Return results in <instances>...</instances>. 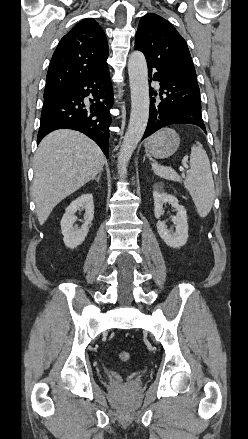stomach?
<instances>
[{
	"mask_svg": "<svg viewBox=\"0 0 248 439\" xmlns=\"http://www.w3.org/2000/svg\"><path fill=\"white\" fill-rule=\"evenodd\" d=\"M180 144L179 135L170 128H164L152 135L145 143L149 155L157 159L173 155Z\"/></svg>",
	"mask_w": 248,
	"mask_h": 439,
	"instance_id": "0dacf381",
	"label": "stomach"
}]
</instances>
